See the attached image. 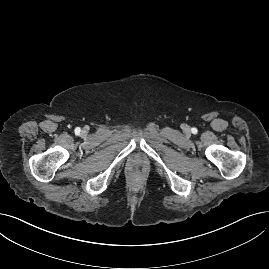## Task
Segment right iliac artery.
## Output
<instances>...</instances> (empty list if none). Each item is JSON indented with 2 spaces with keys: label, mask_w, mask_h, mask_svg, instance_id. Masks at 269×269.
<instances>
[{
  "label": "right iliac artery",
  "mask_w": 269,
  "mask_h": 269,
  "mask_svg": "<svg viewBox=\"0 0 269 269\" xmlns=\"http://www.w3.org/2000/svg\"><path fill=\"white\" fill-rule=\"evenodd\" d=\"M76 131L79 132L80 131V128H76Z\"/></svg>",
  "instance_id": "right-iliac-artery-1"
}]
</instances>
